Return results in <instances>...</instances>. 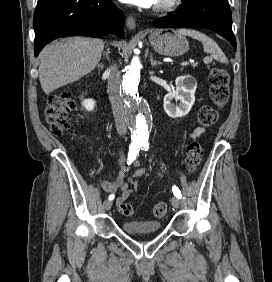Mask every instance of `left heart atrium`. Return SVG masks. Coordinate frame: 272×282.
I'll list each match as a JSON object with an SVG mask.
<instances>
[{"label":"left heart atrium","instance_id":"left-heart-atrium-1","mask_svg":"<svg viewBox=\"0 0 272 282\" xmlns=\"http://www.w3.org/2000/svg\"><path fill=\"white\" fill-rule=\"evenodd\" d=\"M122 1L129 3V4H134L137 6L147 8V7L154 6L158 0H122Z\"/></svg>","mask_w":272,"mask_h":282}]
</instances>
